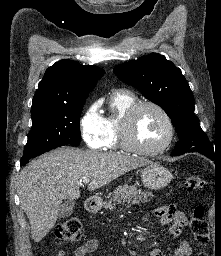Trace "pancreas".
Wrapping results in <instances>:
<instances>
[{"mask_svg":"<svg viewBox=\"0 0 221 256\" xmlns=\"http://www.w3.org/2000/svg\"><path fill=\"white\" fill-rule=\"evenodd\" d=\"M149 197H152V193L148 191H142L135 186H119L117 189L108 195V202L104 203V208L113 210L116 204L121 202L128 204H140L149 201ZM113 202V204H112Z\"/></svg>","mask_w":221,"mask_h":256,"instance_id":"obj_1","label":"pancreas"}]
</instances>
